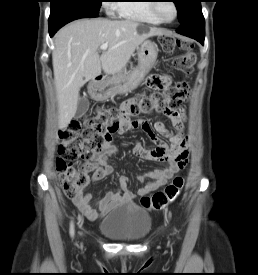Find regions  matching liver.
<instances>
[{"label": "liver", "mask_w": 258, "mask_h": 275, "mask_svg": "<svg viewBox=\"0 0 258 275\" xmlns=\"http://www.w3.org/2000/svg\"><path fill=\"white\" fill-rule=\"evenodd\" d=\"M162 34L161 29L128 19H80L60 29L52 53L59 128L67 127L75 116L86 82L102 70L107 75L120 73L140 44ZM102 44H108V50L99 55Z\"/></svg>", "instance_id": "liver-1"}]
</instances>
